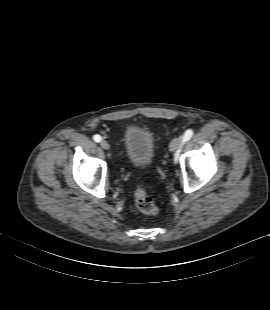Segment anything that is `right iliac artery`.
Instances as JSON below:
<instances>
[{
	"label": "right iliac artery",
	"mask_w": 270,
	"mask_h": 310,
	"mask_svg": "<svg viewBox=\"0 0 270 310\" xmlns=\"http://www.w3.org/2000/svg\"><path fill=\"white\" fill-rule=\"evenodd\" d=\"M93 139L95 142H100L102 140L100 135H94Z\"/></svg>",
	"instance_id": "obj_1"
}]
</instances>
